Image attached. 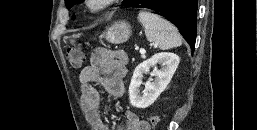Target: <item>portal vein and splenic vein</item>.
Listing matches in <instances>:
<instances>
[{"label":"portal vein and splenic vein","mask_w":257,"mask_h":130,"mask_svg":"<svg viewBox=\"0 0 257 130\" xmlns=\"http://www.w3.org/2000/svg\"><path fill=\"white\" fill-rule=\"evenodd\" d=\"M140 53H141V54H145L146 51H145L144 49H140Z\"/></svg>","instance_id":"18ae733b"}]
</instances>
